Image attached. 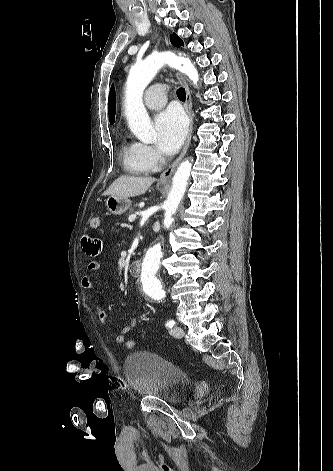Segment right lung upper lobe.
Here are the masks:
<instances>
[{"instance_id": "cb5924a9", "label": "right lung upper lobe", "mask_w": 333, "mask_h": 471, "mask_svg": "<svg viewBox=\"0 0 333 471\" xmlns=\"http://www.w3.org/2000/svg\"><path fill=\"white\" fill-rule=\"evenodd\" d=\"M115 90L114 86L112 85L109 93V99H108V111H109V121L110 124H113L115 121Z\"/></svg>"}]
</instances>
